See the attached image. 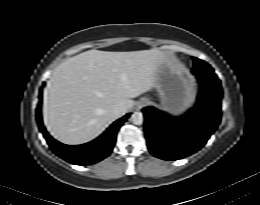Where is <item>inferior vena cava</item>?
<instances>
[{
	"label": "inferior vena cava",
	"mask_w": 260,
	"mask_h": 205,
	"mask_svg": "<svg viewBox=\"0 0 260 205\" xmlns=\"http://www.w3.org/2000/svg\"><path fill=\"white\" fill-rule=\"evenodd\" d=\"M111 113L114 117L118 118L126 113V107L122 104L115 105L112 108Z\"/></svg>",
	"instance_id": "inferior-vena-cava-1"
}]
</instances>
